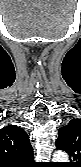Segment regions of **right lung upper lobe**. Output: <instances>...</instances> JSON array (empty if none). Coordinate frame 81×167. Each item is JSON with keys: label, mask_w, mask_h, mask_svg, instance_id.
<instances>
[{"label": "right lung upper lobe", "mask_w": 81, "mask_h": 167, "mask_svg": "<svg viewBox=\"0 0 81 167\" xmlns=\"http://www.w3.org/2000/svg\"><path fill=\"white\" fill-rule=\"evenodd\" d=\"M33 149L28 134L16 125L0 130V167H33Z\"/></svg>", "instance_id": "cb5924a9"}]
</instances>
